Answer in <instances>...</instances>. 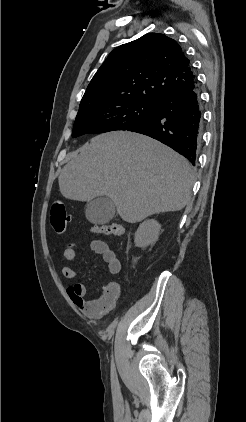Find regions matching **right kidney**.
<instances>
[{"instance_id": "ca27d5eb", "label": "right kidney", "mask_w": 246, "mask_h": 422, "mask_svg": "<svg viewBox=\"0 0 246 422\" xmlns=\"http://www.w3.org/2000/svg\"><path fill=\"white\" fill-rule=\"evenodd\" d=\"M161 225L154 219L146 220L140 224L135 232V245L145 248L156 243L159 237Z\"/></svg>"}]
</instances>
